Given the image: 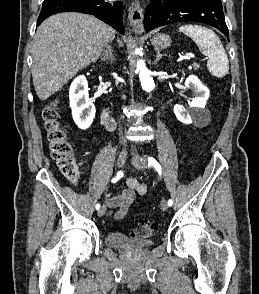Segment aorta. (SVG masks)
<instances>
[{
  "label": "aorta",
  "instance_id": "1",
  "mask_svg": "<svg viewBox=\"0 0 259 294\" xmlns=\"http://www.w3.org/2000/svg\"><path fill=\"white\" fill-rule=\"evenodd\" d=\"M136 52H138V50ZM136 70L139 72L142 89L146 92L152 91L155 88V83L143 60L137 61Z\"/></svg>",
  "mask_w": 259,
  "mask_h": 294
}]
</instances>
